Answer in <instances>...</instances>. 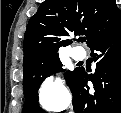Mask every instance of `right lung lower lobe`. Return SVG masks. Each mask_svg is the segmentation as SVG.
Here are the masks:
<instances>
[{
	"label": "right lung lower lobe",
	"instance_id": "1",
	"mask_svg": "<svg viewBox=\"0 0 121 113\" xmlns=\"http://www.w3.org/2000/svg\"><path fill=\"white\" fill-rule=\"evenodd\" d=\"M90 49L96 62L94 76L76 68L67 82L73 108L76 113H121V27ZM88 80L94 84L93 95L88 92Z\"/></svg>",
	"mask_w": 121,
	"mask_h": 113
}]
</instances>
